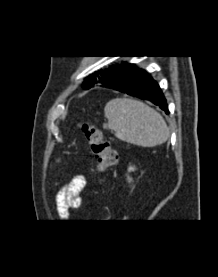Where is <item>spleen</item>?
I'll list each match as a JSON object with an SVG mask.
<instances>
[{
    "label": "spleen",
    "mask_w": 218,
    "mask_h": 277,
    "mask_svg": "<svg viewBox=\"0 0 218 277\" xmlns=\"http://www.w3.org/2000/svg\"><path fill=\"white\" fill-rule=\"evenodd\" d=\"M108 119L103 128L127 143L154 147L167 141L169 128L163 117L145 103L128 98L110 100L105 108Z\"/></svg>",
    "instance_id": "1"
}]
</instances>
